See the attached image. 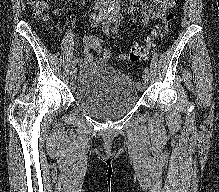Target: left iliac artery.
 I'll use <instances>...</instances> for the list:
<instances>
[{"instance_id": "obj_1", "label": "left iliac artery", "mask_w": 219, "mask_h": 192, "mask_svg": "<svg viewBox=\"0 0 219 192\" xmlns=\"http://www.w3.org/2000/svg\"><path fill=\"white\" fill-rule=\"evenodd\" d=\"M120 5H116L114 10H113V22L118 26L120 24ZM144 74H149V70L148 68H144Z\"/></svg>"}]
</instances>
